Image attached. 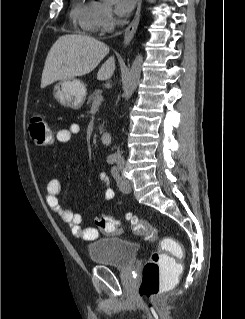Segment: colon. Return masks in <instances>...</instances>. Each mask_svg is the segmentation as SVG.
<instances>
[{
	"label": "colon",
	"mask_w": 245,
	"mask_h": 319,
	"mask_svg": "<svg viewBox=\"0 0 245 319\" xmlns=\"http://www.w3.org/2000/svg\"><path fill=\"white\" fill-rule=\"evenodd\" d=\"M29 132L35 146L43 147L52 142V131L40 115H35L30 119ZM126 219L130 222L135 234L149 241L156 239L158 230L152 223L132 213H127ZM97 227L107 234L120 232L119 222L108 215H102L97 219ZM160 247L161 250L154 252L143 267L138 294L140 299L146 303L155 299L182 271V268L173 261V258H182L184 255L183 247L179 242L174 238L166 237L161 240Z\"/></svg>",
	"instance_id": "1"
}]
</instances>
